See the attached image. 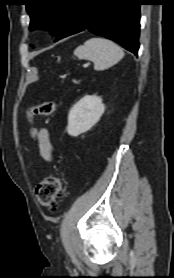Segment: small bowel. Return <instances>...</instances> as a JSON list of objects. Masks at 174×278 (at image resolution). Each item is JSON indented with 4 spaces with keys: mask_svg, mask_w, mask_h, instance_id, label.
Returning <instances> with one entry per match:
<instances>
[{
    "mask_svg": "<svg viewBox=\"0 0 174 278\" xmlns=\"http://www.w3.org/2000/svg\"><path fill=\"white\" fill-rule=\"evenodd\" d=\"M37 143L39 146L40 154L46 161L52 160V146L47 129L41 127L36 131Z\"/></svg>",
    "mask_w": 174,
    "mask_h": 278,
    "instance_id": "small-bowel-1",
    "label": "small bowel"
}]
</instances>
